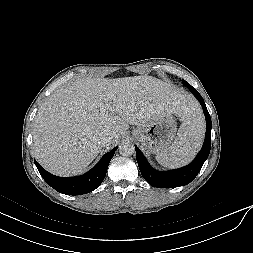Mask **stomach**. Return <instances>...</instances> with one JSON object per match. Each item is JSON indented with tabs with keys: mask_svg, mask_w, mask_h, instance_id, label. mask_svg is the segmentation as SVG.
<instances>
[{
	"mask_svg": "<svg viewBox=\"0 0 253 253\" xmlns=\"http://www.w3.org/2000/svg\"><path fill=\"white\" fill-rule=\"evenodd\" d=\"M176 121L172 115L165 114L138 126L133 136L150 153H161L166 150L175 138Z\"/></svg>",
	"mask_w": 253,
	"mask_h": 253,
	"instance_id": "obj_1",
	"label": "stomach"
}]
</instances>
